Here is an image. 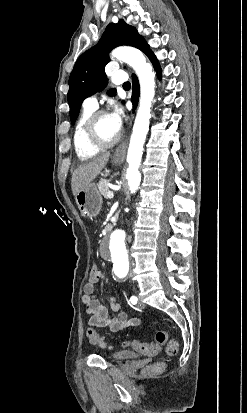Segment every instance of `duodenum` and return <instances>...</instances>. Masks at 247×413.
<instances>
[{"instance_id": "410a0bca", "label": "duodenum", "mask_w": 247, "mask_h": 413, "mask_svg": "<svg viewBox=\"0 0 247 413\" xmlns=\"http://www.w3.org/2000/svg\"><path fill=\"white\" fill-rule=\"evenodd\" d=\"M113 224L110 222L106 225L105 227V231L108 233L112 230Z\"/></svg>"}]
</instances>
